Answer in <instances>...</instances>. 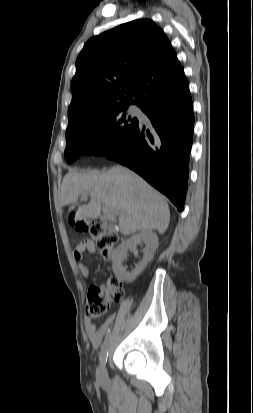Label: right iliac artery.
Segmentation results:
<instances>
[{"mask_svg":"<svg viewBox=\"0 0 253 413\" xmlns=\"http://www.w3.org/2000/svg\"><path fill=\"white\" fill-rule=\"evenodd\" d=\"M109 337H110V333L107 334L102 347H101V352H100V363L101 365H105L106 361H107V357H108V347H109Z\"/></svg>","mask_w":253,"mask_h":413,"instance_id":"obj_1","label":"right iliac artery"}]
</instances>
